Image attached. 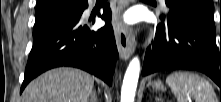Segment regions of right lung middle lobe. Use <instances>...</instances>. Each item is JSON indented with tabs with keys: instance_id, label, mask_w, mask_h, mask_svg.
Segmentation results:
<instances>
[{
	"instance_id": "1",
	"label": "right lung middle lobe",
	"mask_w": 221,
	"mask_h": 102,
	"mask_svg": "<svg viewBox=\"0 0 221 102\" xmlns=\"http://www.w3.org/2000/svg\"><path fill=\"white\" fill-rule=\"evenodd\" d=\"M81 3V0H51L47 5L36 8L33 36L60 19L75 15Z\"/></svg>"
}]
</instances>
